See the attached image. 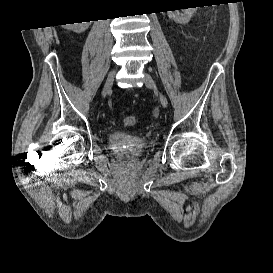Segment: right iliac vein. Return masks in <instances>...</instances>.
I'll return each mask as SVG.
<instances>
[{
    "instance_id": "63e3f726",
    "label": "right iliac vein",
    "mask_w": 273,
    "mask_h": 273,
    "mask_svg": "<svg viewBox=\"0 0 273 273\" xmlns=\"http://www.w3.org/2000/svg\"><path fill=\"white\" fill-rule=\"evenodd\" d=\"M115 77V70L110 71V73L107 76L106 82L104 84L103 90H102V97H105L106 94L111 90L114 82Z\"/></svg>"
}]
</instances>
